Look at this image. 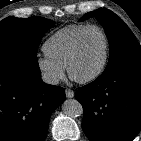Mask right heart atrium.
Here are the masks:
<instances>
[{
  "mask_svg": "<svg viewBox=\"0 0 141 141\" xmlns=\"http://www.w3.org/2000/svg\"><path fill=\"white\" fill-rule=\"evenodd\" d=\"M37 67L43 80L51 85L59 83L65 76V67L46 55L38 57Z\"/></svg>",
  "mask_w": 141,
  "mask_h": 141,
  "instance_id": "obj_1",
  "label": "right heart atrium"
}]
</instances>
